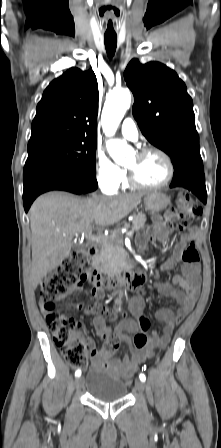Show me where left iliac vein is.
Returning a JSON list of instances; mask_svg holds the SVG:
<instances>
[{
    "mask_svg": "<svg viewBox=\"0 0 221 448\" xmlns=\"http://www.w3.org/2000/svg\"><path fill=\"white\" fill-rule=\"evenodd\" d=\"M135 388L136 390L143 392L145 389V384L141 381V380H136L135 381Z\"/></svg>",
    "mask_w": 221,
    "mask_h": 448,
    "instance_id": "obj_1",
    "label": "left iliac vein"
}]
</instances>
